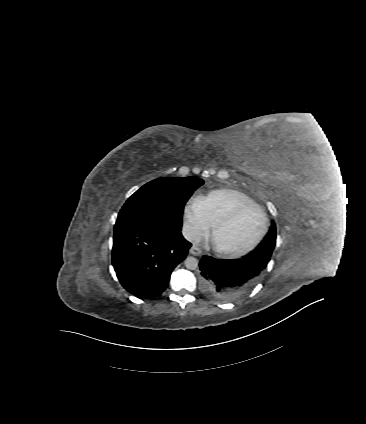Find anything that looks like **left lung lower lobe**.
Instances as JSON below:
<instances>
[{"mask_svg":"<svg viewBox=\"0 0 366 424\" xmlns=\"http://www.w3.org/2000/svg\"><path fill=\"white\" fill-rule=\"evenodd\" d=\"M267 263L250 253L232 260L203 256L199 263L200 288L216 301L236 300L257 284Z\"/></svg>","mask_w":366,"mask_h":424,"instance_id":"obj_1","label":"left lung lower lobe"}]
</instances>
